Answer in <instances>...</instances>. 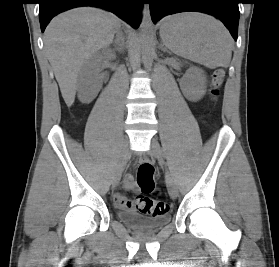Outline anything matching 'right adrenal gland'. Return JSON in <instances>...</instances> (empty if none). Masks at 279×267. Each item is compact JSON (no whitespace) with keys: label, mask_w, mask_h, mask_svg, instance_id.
<instances>
[{"label":"right adrenal gland","mask_w":279,"mask_h":267,"mask_svg":"<svg viewBox=\"0 0 279 267\" xmlns=\"http://www.w3.org/2000/svg\"><path fill=\"white\" fill-rule=\"evenodd\" d=\"M119 42H121V43L118 45V41L117 40L114 41V43L119 46V47H117L118 51H120L122 49L123 45H124V40L122 38V34L120 35V41Z\"/></svg>","instance_id":"obj_1"}]
</instances>
